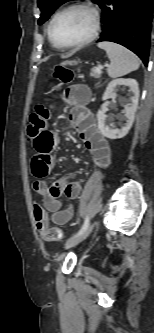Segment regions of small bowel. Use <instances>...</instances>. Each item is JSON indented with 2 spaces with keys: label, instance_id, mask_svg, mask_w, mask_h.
I'll list each match as a JSON object with an SVG mask.
<instances>
[{
  "label": "small bowel",
  "instance_id": "c3829d8e",
  "mask_svg": "<svg viewBox=\"0 0 154 333\" xmlns=\"http://www.w3.org/2000/svg\"><path fill=\"white\" fill-rule=\"evenodd\" d=\"M65 100L72 106L70 121L78 132L92 160L100 167H106L111 158L108 140L99 130L93 113L86 107L90 100V90L84 84H73L64 93ZM58 136L45 128L33 140L35 154L32 157V174L39 180L33 184V190L43 198V205L50 215V221L56 225L67 223L73 216V206L70 201L77 199L81 193L79 181L59 179L48 185L41 178L46 177L54 168L53 153L57 149ZM62 196L69 203L66 205L60 199Z\"/></svg>",
  "mask_w": 154,
  "mask_h": 333
}]
</instances>
